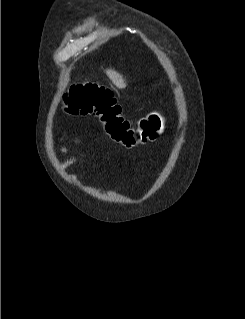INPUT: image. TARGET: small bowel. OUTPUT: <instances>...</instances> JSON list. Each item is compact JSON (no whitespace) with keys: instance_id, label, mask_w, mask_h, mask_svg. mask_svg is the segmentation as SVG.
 Returning <instances> with one entry per match:
<instances>
[{"instance_id":"c3829d8e","label":"small bowel","mask_w":245,"mask_h":319,"mask_svg":"<svg viewBox=\"0 0 245 319\" xmlns=\"http://www.w3.org/2000/svg\"><path fill=\"white\" fill-rule=\"evenodd\" d=\"M77 142L72 143L71 145H66L61 147V152L63 153H67L69 151V149L75 145ZM79 159V156H71L68 159L65 160L64 162V166H70L72 164H74L77 160Z\"/></svg>"}]
</instances>
